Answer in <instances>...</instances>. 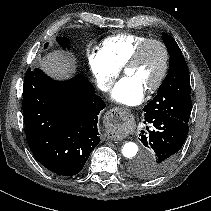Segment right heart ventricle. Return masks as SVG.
Instances as JSON below:
<instances>
[{
	"mask_svg": "<svg viewBox=\"0 0 211 211\" xmlns=\"http://www.w3.org/2000/svg\"><path fill=\"white\" fill-rule=\"evenodd\" d=\"M147 37L142 34L122 33L103 40L101 51L116 67L122 68L134 49Z\"/></svg>",
	"mask_w": 211,
	"mask_h": 211,
	"instance_id": "1",
	"label": "right heart ventricle"
}]
</instances>
